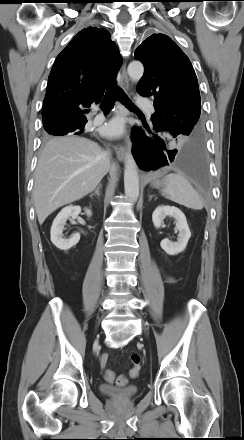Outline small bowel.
Returning a JSON list of instances; mask_svg holds the SVG:
<instances>
[{
  "instance_id": "1",
  "label": "small bowel",
  "mask_w": 244,
  "mask_h": 440,
  "mask_svg": "<svg viewBox=\"0 0 244 440\" xmlns=\"http://www.w3.org/2000/svg\"><path fill=\"white\" fill-rule=\"evenodd\" d=\"M106 361H107V355H106V354H103V355L101 356V367H102V368L105 367V365H106Z\"/></svg>"
}]
</instances>
